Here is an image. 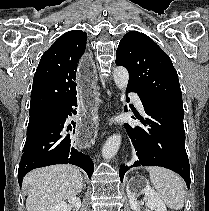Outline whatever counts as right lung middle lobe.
Here are the masks:
<instances>
[{
	"mask_svg": "<svg viewBox=\"0 0 209 211\" xmlns=\"http://www.w3.org/2000/svg\"><path fill=\"white\" fill-rule=\"evenodd\" d=\"M53 109L29 112L30 119L27 127V136L33 133L52 113Z\"/></svg>",
	"mask_w": 209,
	"mask_h": 211,
	"instance_id": "dd1d6c3e",
	"label": "right lung middle lobe"
}]
</instances>
